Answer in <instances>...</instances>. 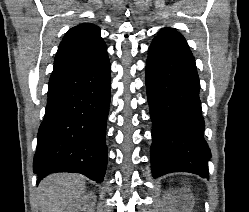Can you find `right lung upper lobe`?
Listing matches in <instances>:
<instances>
[{
  "instance_id": "cb5924a9",
  "label": "right lung upper lobe",
  "mask_w": 249,
  "mask_h": 212,
  "mask_svg": "<svg viewBox=\"0 0 249 212\" xmlns=\"http://www.w3.org/2000/svg\"><path fill=\"white\" fill-rule=\"evenodd\" d=\"M98 26L89 23L71 28L59 45L51 79L87 68L107 55Z\"/></svg>"
}]
</instances>
